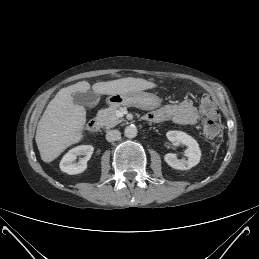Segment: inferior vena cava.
I'll return each mask as SVG.
<instances>
[{"mask_svg": "<svg viewBox=\"0 0 259 259\" xmlns=\"http://www.w3.org/2000/svg\"><path fill=\"white\" fill-rule=\"evenodd\" d=\"M121 138V133L118 130H109L106 133V140L108 142H113V141H117Z\"/></svg>", "mask_w": 259, "mask_h": 259, "instance_id": "602c4592", "label": "inferior vena cava"}]
</instances>
